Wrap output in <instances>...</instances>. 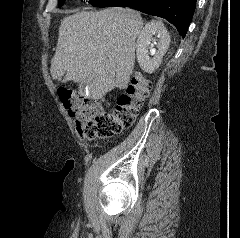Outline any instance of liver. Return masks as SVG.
<instances>
[{
    "mask_svg": "<svg viewBox=\"0 0 240 238\" xmlns=\"http://www.w3.org/2000/svg\"><path fill=\"white\" fill-rule=\"evenodd\" d=\"M143 27L139 12L113 7L66 16L59 27L51 60V76L64 82H86L88 97L102 98L115 87L124 89L135 64V40Z\"/></svg>",
    "mask_w": 240,
    "mask_h": 238,
    "instance_id": "liver-1",
    "label": "liver"
}]
</instances>
